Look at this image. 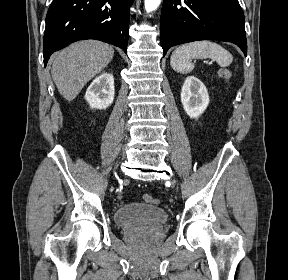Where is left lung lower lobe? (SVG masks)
I'll return each mask as SVG.
<instances>
[{"label":"left lung lower lobe","mask_w":288,"mask_h":280,"mask_svg":"<svg viewBox=\"0 0 288 280\" xmlns=\"http://www.w3.org/2000/svg\"><path fill=\"white\" fill-rule=\"evenodd\" d=\"M205 39L232 42L247 55L238 0H164L160 17L164 55L172 46Z\"/></svg>","instance_id":"1"}]
</instances>
